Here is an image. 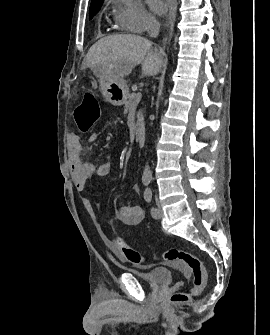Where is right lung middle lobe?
Listing matches in <instances>:
<instances>
[{
    "label": "right lung middle lobe",
    "mask_w": 270,
    "mask_h": 335,
    "mask_svg": "<svg viewBox=\"0 0 270 335\" xmlns=\"http://www.w3.org/2000/svg\"><path fill=\"white\" fill-rule=\"evenodd\" d=\"M102 3H99V4H94V5H91L90 6V9H89V17L92 18L100 9Z\"/></svg>",
    "instance_id": "1"
}]
</instances>
